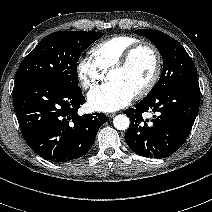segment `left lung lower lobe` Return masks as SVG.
<instances>
[{
  "instance_id": "obj_1",
  "label": "left lung lower lobe",
  "mask_w": 212,
  "mask_h": 212,
  "mask_svg": "<svg viewBox=\"0 0 212 212\" xmlns=\"http://www.w3.org/2000/svg\"><path fill=\"white\" fill-rule=\"evenodd\" d=\"M200 104L198 79L179 82L169 89L146 96L135 108L125 110L131 125L125 134L128 146L143 157L165 158L187 139ZM157 112L151 122L142 113Z\"/></svg>"
}]
</instances>
